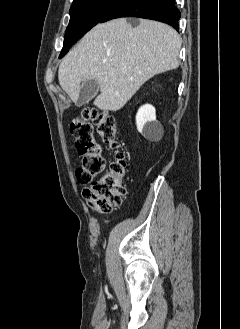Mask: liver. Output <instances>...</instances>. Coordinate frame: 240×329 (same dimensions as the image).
<instances>
[{
    "mask_svg": "<svg viewBox=\"0 0 240 329\" xmlns=\"http://www.w3.org/2000/svg\"><path fill=\"white\" fill-rule=\"evenodd\" d=\"M182 40L170 26L140 19L132 27L120 18L92 28L62 60L58 80L76 103L81 83L93 79L103 111L121 109L153 76L176 69Z\"/></svg>",
    "mask_w": 240,
    "mask_h": 329,
    "instance_id": "1",
    "label": "liver"
}]
</instances>
